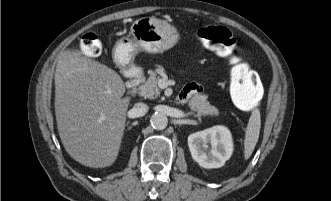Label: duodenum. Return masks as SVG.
<instances>
[{
  "mask_svg": "<svg viewBox=\"0 0 331 201\" xmlns=\"http://www.w3.org/2000/svg\"><path fill=\"white\" fill-rule=\"evenodd\" d=\"M141 76H142V71L140 69L132 68L129 71V78L126 82V87L128 89H134L137 86Z\"/></svg>",
  "mask_w": 331,
  "mask_h": 201,
  "instance_id": "obj_1",
  "label": "duodenum"
}]
</instances>
